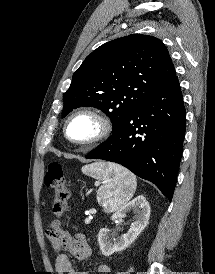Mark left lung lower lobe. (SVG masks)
I'll list each match as a JSON object with an SVG mask.
<instances>
[{"label":"left lung lower lobe","mask_w":215,"mask_h":274,"mask_svg":"<svg viewBox=\"0 0 215 274\" xmlns=\"http://www.w3.org/2000/svg\"><path fill=\"white\" fill-rule=\"evenodd\" d=\"M186 114L177 76L134 108L85 158L123 165L172 200L183 151Z\"/></svg>","instance_id":"left-lung-lower-lobe-1"}]
</instances>
